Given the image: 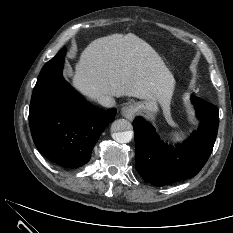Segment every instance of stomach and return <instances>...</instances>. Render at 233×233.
<instances>
[{
    "instance_id": "0dacf381",
    "label": "stomach",
    "mask_w": 233,
    "mask_h": 233,
    "mask_svg": "<svg viewBox=\"0 0 233 233\" xmlns=\"http://www.w3.org/2000/svg\"><path fill=\"white\" fill-rule=\"evenodd\" d=\"M136 110L138 112H143L147 117L154 119L159 107L156 100H146L136 103Z\"/></svg>"
}]
</instances>
